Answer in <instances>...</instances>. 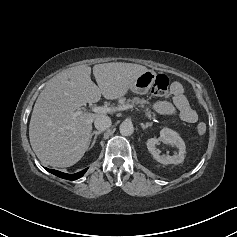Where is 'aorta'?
I'll return each instance as SVG.
<instances>
[{
    "instance_id": "obj_1",
    "label": "aorta",
    "mask_w": 237,
    "mask_h": 237,
    "mask_svg": "<svg viewBox=\"0 0 237 237\" xmlns=\"http://www.w3.org/2000/svg\"><path fill=\"white\" fill-rule=\"evenodd\" d=\"M119 130H120L121 135H123V136H130L134 132V127H133L132 122H130V121H123L120 124Z\"/></svg>"
}]
</instances>
